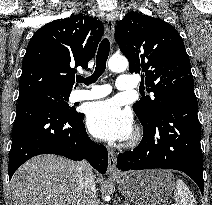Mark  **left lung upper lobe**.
Masks as SVG:
<instances>
[{"mask_svg": "<svg viewBox=\"0 0 212 205\" xmlns=\"http://www.w3.org/2000/svg\"><path fill=\"white\" fill-rule=\"evenodd\" d=\"M115 40L129 60L131 73H142L147 91L133 105L141 124L150 123L169 104L196 99L189 57L177 30L167 22L129 12L115 30Z\"/></svg>", "mask_w": 212, "mask_h": 205, "instance_id": "left-lung-upper-lobe-1", "label": "left lung upper lobe"}]
</instances>
